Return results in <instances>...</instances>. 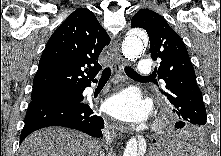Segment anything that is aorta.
Instances as JSON below:
<instances>
[{
  "mask_svg": "<svg viewBox=\"0 0 221 156\" xmlns=\"http://www.w3.org/2000/svg\"><path fill=\"white\" fill-rule=\"evenodd\" d=\"M147 43V35L140 29L128 31L122 45V52L128 60H135L141 56ZM146 150V142L136 137L131 138L125 147L123 156H143Z\"/></svg>",
  "mask_w": 221,
  "mask_h": 156,
  "instance_id": "1",
  "label": "aorta"
}]
</instances>
